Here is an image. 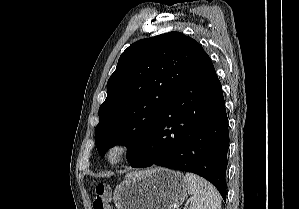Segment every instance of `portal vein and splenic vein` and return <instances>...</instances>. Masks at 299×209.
Wrapping results in <instances>:
<instances>
[{"label":"portal vein and splenic vein","mask_w":299,"mask_h":209,"mask_svg":"<svg viewBox=\"0 0 299 209\" xmlns=\"http://www.w3.org/2000/svg\"><path fill=\"white\" fill-rule=\"evenodd\" d=\"M188 204H189V202H187V203L185 204V208H184V209H186V206H188Z\"/></svg>","instance_id":"obj_1"}]
</instances>
